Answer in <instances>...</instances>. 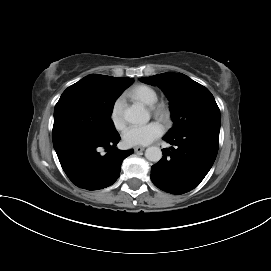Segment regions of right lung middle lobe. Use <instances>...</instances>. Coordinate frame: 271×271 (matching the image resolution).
<instances>
[{
  "label": "right lung middle lobe",
  "mask_w": 271,
  "mask_h": 271,
  "mask_svg": "<svg viewBox=\"0 0 271 271\" xmlns=\"http://www.w3.org/2000/svg\"><path fill=\"white\" fill-rule=\"evenodd\" d=\"M126 88L106 85L89 76L69 86L54 109V148L83 136L116 134L110 115Z\"/></svg>",
  "instance_id": "1"
}]
</instances>
